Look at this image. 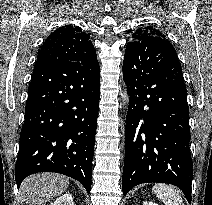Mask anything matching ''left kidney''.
Returning a JSON list of instances; mask_svg holds the SVG:
<instances>
[{
	"mask_svg": "<svg viewBox=\"0 0 212 205\" xmlns=\"http://www.w3.org/2000/svg\"><path fill=\"white\" fill-rule=\"evenodd\" d=\"M143 205H158V204H156V203H154V202H150V201L147 202V201H146V202L143 203Z\"/></svg>",
	"mask_w": 212,
	"mask_h": 205,
	"instance_id": "left-kidney-1",
	"label": "left kidney"
}]
</instances>
